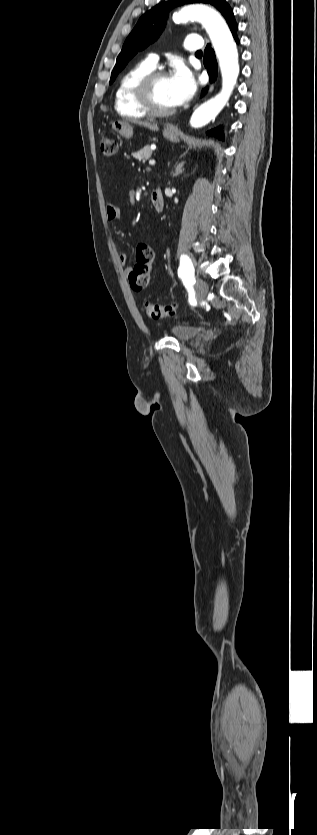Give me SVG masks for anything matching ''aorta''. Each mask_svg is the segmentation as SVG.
Masks as SVG:
<instances>
[{"label": "aorta", "mask_w": 317, "mask_h": 835, "mask_svg": "<svg viewBox=\"0 0 317 835\" xmlns=\"http://www.w3.org/2000/svg\"><path fill=\"white\" fill-rule=\"evenodd\" d=\"M192 18L200 22L207 31L222 76L220 93L199 106L191 116V126L200 128L215 119L229 101L239 75V63L238 51L230 29L216 10L195 4L185 6L173 14V20L178 23H186Z\"/></svg>", "instance_id": "obj_1"}]
</instances>
